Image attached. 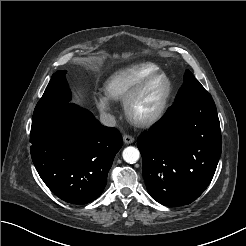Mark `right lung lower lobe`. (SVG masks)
Instances as JSON below:
<instances>
[{
    "instance_id": "1",
    "label": "right lung lower lobe",
    "mask_w": 246,
    "mask_h": 246,
    "mask_svg": "<svg viewBox=\"0 0 246 246\" xmlns=\"http://www.w3.org/2000/svg\"><path fill=\"white\" fill-rule=\"evenodd\" d=\"M31 157L40 177L61 200L82 205L99 197L122 138L115 128L67 103L33 115Z\"/></svg>"
}]
</instances>
